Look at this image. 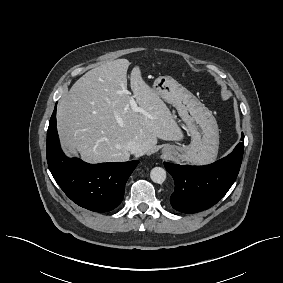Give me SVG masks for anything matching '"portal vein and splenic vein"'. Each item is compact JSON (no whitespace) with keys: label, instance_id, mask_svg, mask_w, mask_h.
Segmentation results:
<instances>
[{"label":"portal vein and splenic vein","instance_id":"obj_1","mask_svg":"<svg viewBox=\"0 0 283 283\" xmlns=\"http://www.w3.org/2000/svg\"><path fill=\"white\" fill-rule=\"evenodd\" d=\"M127 93L130 94L129 91H127ZM129 103H130L131 109H132L134 112H140V113L146 114V112L144 111V109L140 108V107L137 105V103H136L135 99L133 98V96L130 97V102H129Z\"/></svg>","mask_w":283,"mask_h":283}]
</instances>
